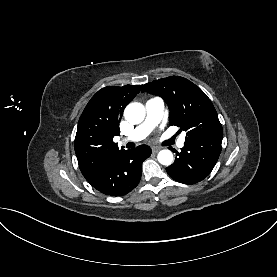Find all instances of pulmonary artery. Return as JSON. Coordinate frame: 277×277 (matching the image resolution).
I'll return each mask as SVG.
<instances>
[{"mask_svg": "<svg viewBox=\"0 0 277 277\" xmlns=\"http://www.w3.org/2000/svg\"><path fill=\"white\" fill-rule=\"evenodd\" d=\"M146 118L137 126L133 132L124 139V141L137 142L146 138L149 133L161 121L164 111V102L160 98L149 99L145 104ZM185 143V137H180L177 143L179 148H182Z\"/></svg>", "mask_w": 277, "mask_h": 277, "instance_id": "1", "label": "pulmonary artery"}]
</instances>
